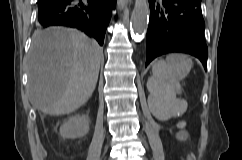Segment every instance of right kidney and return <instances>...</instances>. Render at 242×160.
<instances>
[{
	"label": "right kidney",
	"mask_w": 242,
	"mask_h": 160,
	"mask_svg": "<svg viewBox=\"0 0 242 160\" xmlns=\"http://www.w3.org/2000/svg\"><path fill=\"white\" fill-rule=\"evenodd\" d=\"M89 117L86 115H74L68 118L60 127V135L63 138L75 139L83 137L89 132Z\"/></svg>",
	"instance_id": "ca27d5eb"
}]
</instances>
